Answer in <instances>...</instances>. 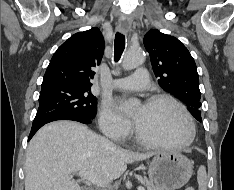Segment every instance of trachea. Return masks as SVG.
<instances>
[{
	"label": "trachea",
	"instance_id": "trachea-1",
	"mask_svg": "<svg viewBox=\"0 0 234 190\" xmlns=\"http://www.w3.org/2000/svg\"><path fill=\"white\" fill-rule=\"evenodd\" d=\"M125 48V36L119 32L115 35L114 41V61L118 62Z\"/></svg>",
	"mask_w": 234,
	"mask_h": 190
}]
</instances>
